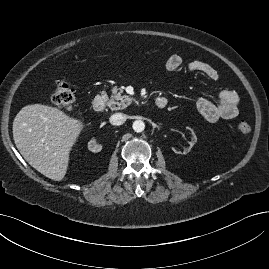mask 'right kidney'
<instances>
[{"mask_svg": "<svg viewBox=\"0 0 269 269\" xmlns=\"http://www.w3.org/2000/svg\"><path fill=\"white\" fill-rule=\"evenodd\" d=\"M96 142V137H91V140L88 143V148L92 152H99L102 149L101 145H98L95 143Z\"/></svg>", "mask_w": 269, "mask_h": 269, "instance_id": "ca27d5eb", "label": "right kidney"}]
</instances>
